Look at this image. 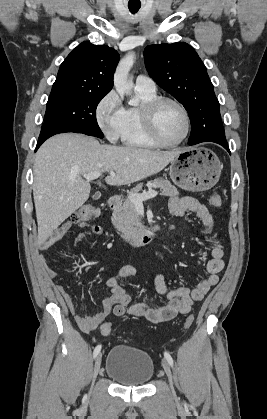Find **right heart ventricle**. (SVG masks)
<instances>
[{
	"mask_svg": "<svg viewBox=\"0 0 267 419\" xmlns=\"http://www.w3.org/2000/svg\"><path fill=\"white\" fill-rule=\"evenodd\" d=\"M140 105L124 108L121 140L124 145L134 148H155V144L147 135L143 120L142 109L146 103L157 97L156 91L147 92L137 90Z\"/></svg>",
	"mask_w": 267,
	"mask_h": 419,
	"instance_id": "obj_1",
	"label": "right heart ventricle"
}]
</instances>
